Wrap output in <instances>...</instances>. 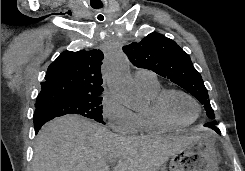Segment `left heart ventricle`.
I'll return each mask as SVG.
<instances>
[{"instance_id":"obj_1","label":"left heart ventricle","mask_w":245,"mask_h":171,"mask_svg":"<svg viewBox=\"0 0 245 171\" xmlns=\"http://www.w3.org/2000/svg\"><path fill=\"white\" fill-rule=\"evenodd\" d=\"M166 108L169 116L178 123H187L196 116L194 104L185 96L172 94L167 99Z\"/></svg>"}]
</instances>
